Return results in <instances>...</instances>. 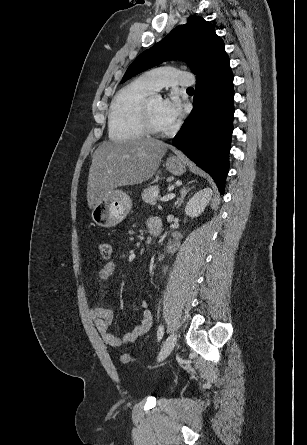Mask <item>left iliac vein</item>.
Returning a JSON list of instances; mask_svg holds the SVG:
<instances>
[{
  "label": "left iliac vein",
  "mask_w": 307,
  "mask_h": 445,
  "mask_svg": "<svg viewBox=\"0 0 307 445\" xmlns=\"http://www.w3.org/2000/svg\"><path fill=\"white\" fill-rule=\"evenodd\" d=\"M176 341H177L176 334H171L168 336L158 355V361L164 360L171 353V351L175 347Z\"/></svg>",
  "instance_id": "left-iliac-vein-1"
}]
</instances>
